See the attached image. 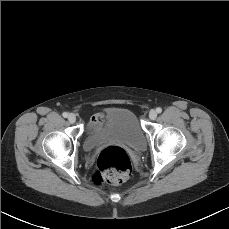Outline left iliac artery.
<instances>
[{"label":"left iliac artery","instance_id":"1","mask_svg":"<svg viewBox=\"0 0 229 229\" xmlns=\"http://www.w3.org/2000/svg\"><path fill=\"white\" fill-rule=\"evenodd\" d=\"M156 112L157 113H161L162 112V109L160 107L156 108Z\"/></svg>","mask_w":229,"mask_h":229}]
</instances>
